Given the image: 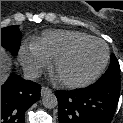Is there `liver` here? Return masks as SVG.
<instances>
[{
  "instance_id": "1",
  "label": "liver",
  "mask_w": 123,
  "mask_h": 123,
  "mask_svg": "<svg viewBox=\"0 0 123 123\" xmlns=\"http://www.w3.org/2000/svg\"><path fill=\"white\" fill-rule=\"evenodd\" d=\"M12 58L8 52L1 47V84L7 79L11 68Z\"/></svg>"
}]
</instances>
